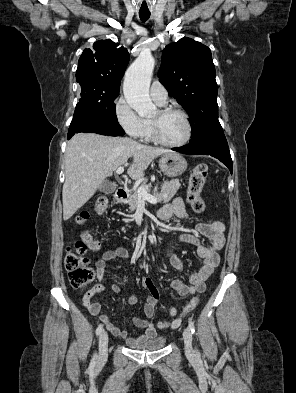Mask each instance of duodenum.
Segmentation results:
<instances>
[{
	"label": "duodenum",
	"mask_w": 296,
	"mask_h": 393,
	"mask_svg": "<svg viewBox=\"0 0 296 393\" xmlns=\"http://www.w3.org/2000/svg\"><path fill=\"white\" fill-rule=\"evenodd\" d=\"M128 197V192L124 188H118L115 192V199L117 201H124Z\"/></svg>",
	"instance_id": "duodenum-1"
}]
</instances>
